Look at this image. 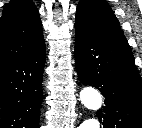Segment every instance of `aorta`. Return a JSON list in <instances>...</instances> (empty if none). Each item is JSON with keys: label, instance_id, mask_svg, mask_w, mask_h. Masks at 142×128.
I'll list each match as a JSON object with an SVG mask.
<instances>
[{"label": "aorta", "instance_id": "1", "mask_svg": "<svg viewBox=\"0 0 142 128\" xmlns=\"http://www.w3.org/2000/svg\"><path fill=\"white\" fill-rule=\"evenodd\" d=\"M81 103L90 110H99L102 107V97L100 93L92 88L85 87L80 91ZM79 128H100L98 119L90 118L81 123Z\"/></svg>", "mask_w": 142, "mask_h": 128}]
</instances>
